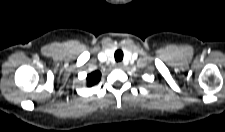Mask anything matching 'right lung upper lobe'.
<instances>
[{
  "label": "right lung upper lobe",
  "instance_id": "1",
  "mask_svg": "<svg viewBox=\"0 0 225 132\" xmlns=\"http://www.w3.org/2000/svg\"><path fill=\"white\" fill-rule=\"evenodd\" d=\"M101 73L99 71H94L87 76V85L92 86L99 82Z\"/></svg>",
  "mask_w": 225,
  "mask_h": 132
}]
</instances>
